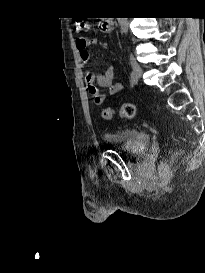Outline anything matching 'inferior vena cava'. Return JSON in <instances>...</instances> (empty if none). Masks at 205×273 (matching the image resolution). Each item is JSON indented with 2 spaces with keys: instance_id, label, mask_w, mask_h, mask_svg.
<instances>
[{
  "instance_id": "obj_1",
  "label": "inferior vena cava",
  "mask_w": 205,
  "mask_h": 273,
  "mask_svg": "<svg viewBox=\"0 0 205 273\" xmlns=\"http://www.w3.org/2000/svg\"><path fill=\"white\" fill-rule=\"evenodd\" d=\"M118 23L121 28V33H127L128 32V21L127 18H118Z\"/></svg>"
}]
</instances>
